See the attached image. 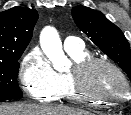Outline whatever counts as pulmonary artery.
<instances>
[{"label": "pulmonary artery", "instance_id": "pulmonary-artery-1", "mask_svg": "<svg viewBox=\"0 0 131 115\" xmlns=\"http://www.w3.org/2000/svg\"><path fill=\"white\" fill-rule=\"evenodd\" d=\"M64 48L66 51L79 50L83 48L81 39L75 36H69L64 41Z\"/></svg>", "mask_w": 131, "mask_h": 115}]
</instances>
